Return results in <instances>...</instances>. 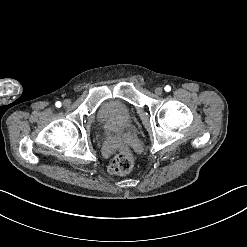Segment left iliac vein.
Masks as SVG:
<instances>
[{
	"label": "left iliac vein",
	"instance_id": "1",
	"mask_svg": "<svg viewBox=\"0 0 247 247\" xmlns=\"http://www.w3.org/2000/svg\"><path fill=\"white\" fill-rule=\"evenodd\" d=\"M154 92L156 95L160 96L163 93V89L161 87H156Z\"/></svg>",
	"mask_w": 247,
	"mask_h": 247
}]
</instances>
